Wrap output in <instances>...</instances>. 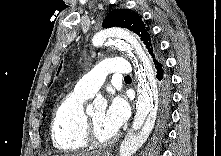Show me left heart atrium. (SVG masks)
<instances>
[{"mask_svg": "<svg viewBox=\"0 0 221 156\" xmlns=\"http://www.w3.org/2000/svg\"><path fill=\"white\" fill-rule=\"evenodd\" d=\"M130 116V107L125 98L121 95H114L111 98L108 109L105 113V124L116 133Z\"/></svg>", "mask_w": 221, "mask_h": 156, "instance_id": "obj_1", "label": "left heart atrium"}]
</instances>
